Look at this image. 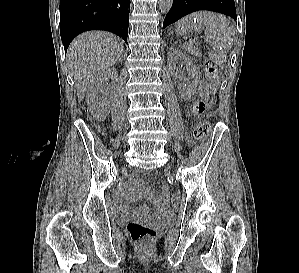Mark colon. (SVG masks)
<instances>
[{
  "label": "colon",
  "mask_w": 299,
  "mask_h": 273,
  "mask_svg": "<svg viewBox=\"0 0 299 273\" xmlns=\"http://www.w3.org/2000/svg\"><path fill=\"white\" fill-rule=\"evenodd\" d=\"M204 72L206 80L201 84L200 97L192 104L189 113L193 117L202 115L206 108L207 100L210 96V84L214 85L218 80L219 63L215 59H209L205 62ZM211 131L210 124L205 121L198 122L194 128V136L197 139H205ZM172 204L177 207L182 203L180 193H174ZM127 233L130 238L140 244H148L152 242L157 235V231L150 225L133 221L127 225Z\"/></svg>",
  "instance_id": "5ec220e1"
}]
</instances>
